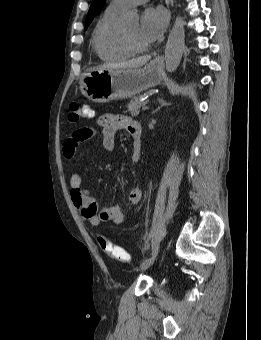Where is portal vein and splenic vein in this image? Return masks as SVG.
I'll list each match as a JSON object with an SVG mask.
<instances>
[{
    "label": "portal vein and splenic vein",
    "mask_w": 261,
    "mask_h": 340,
    "mask_svg": "<svg viewBox=\"0 0 261 340\" xmlns=\"http://www.w3.org/2000/svg\"><path fill=\"white\" fill-rule=\"evenodd\" d=\"M149 109V106H147V105H144L143 107H142V110L143 111H146V110H148Z\"/></svg>",
    "instance_id": "portal-vein-and-splenic-vein-1"
}]
</instances>
